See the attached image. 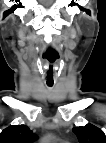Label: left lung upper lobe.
I'll return each mask as SVG.
<instances>
[{
    "mask_svg": "<svg viewBox=\"0 0 106 143\" xmlns=\"http://www.w3.org/2000/svg\"><path fill=\"white\" fill-rule=\"evenodd\" d=\"M73 132L80 143H106L104 132L92 124L74 127Z\"/></svg>",
    "mask_w": 106,
    "mask_h": 143,
    "instance_id": "1",
    "label": "left lung upper lobe"
}]
</instances>
